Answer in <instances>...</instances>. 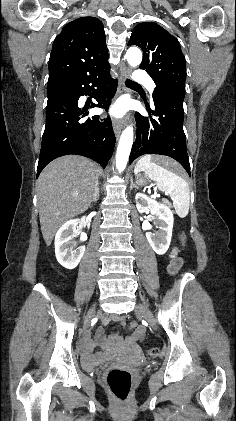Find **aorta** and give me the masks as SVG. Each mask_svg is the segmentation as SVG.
I'll return each mask as SVG.
<instances>
[{
	"mask_svg": "<svg viewBox=\"0 0 236 421\" xmlns=\"http://www.w3.org/2000/svg\"><path fill=\"white\" fill-rule=\"evenodd\" d=\"M126 58L131 66H137V64H140L142 60V52L140 48H137V46H130L126 52ZM133 136V126H127L120 136L116 152V168H118L119 172L126 168L131 146L133 144Z\"/></svg>",
	"mask_w": 236,
	"mask_h": 421,
	"instance_id": "aorta-1",
	"label": "aorta"
}]
</instances>
